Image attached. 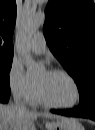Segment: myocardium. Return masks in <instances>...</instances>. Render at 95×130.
<instances>
[{
	"mask_svg": "<svg viewBox=\"0 0 95 130\" xmlns=\"http://www.w3.org/2000/svg\"><path fill=\"white\" fill-rule=\"evenodd\" d=\"M47 72L51 74H62L65 77H67L75 87L76 99L72 104H69V105H60V104L53 103L44 96L40 86L36 83V91H37V95L41 103L48 107L56 108V109H71V108L76 107L80 103V100H81V89L76 79L69 72L61 68H52V69H49Z\"/></svg>",
	"mask_w": 95,
	"mask_h": 130,
	"instance_id": "1",
	"label": "myocardium"
}]
</instances>
